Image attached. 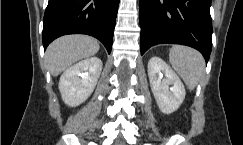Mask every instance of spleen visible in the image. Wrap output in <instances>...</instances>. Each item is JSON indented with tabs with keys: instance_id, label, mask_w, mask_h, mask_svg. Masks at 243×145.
<instances>
[{
	"instance_id": "obj_1",
	"label": "spleen",
	"mask_w": 243,
	"mask_h": 145,
	"mask_svg": "<svg viewBox=\"0 0 243 145\" xmlns=\"http://www.w3.org/2000/svg\"><path fill=\"white\" fill-rule=\"evenodd\" d=\"M169 60L188 89H195L205 73V61L201 53L191 47L176 45L170 51Z\"/></svg>"
}]
</instances>
